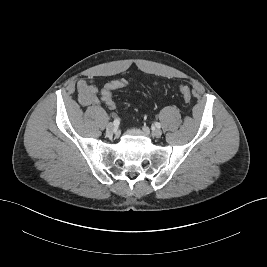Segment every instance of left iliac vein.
I'll use <instances>...</instances> for the list:
<instances>
[{"label": "left iliac vein", "instance_id": "left-iliac-vein-1", "mask_svg": "<svg viewBox=\"0 0 267 267\" xmlns=\"http://www.w3.org/2000/svg\"><path fill=\"white\" fill-rule=\"evenodd\" d=\"M143 130L146 131L147 128L146 127H143ZM152 135L154 137H156V138H159L162 135V131L160 129H158V128H155V129L152 130Z\"/></svg>", "mask_w": 267, "mask_h": 267}]
</instances>
